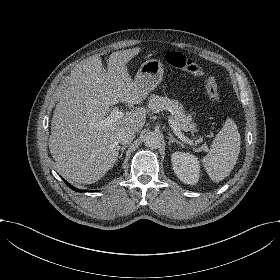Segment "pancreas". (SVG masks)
Listing matches in <instances>:
<instances>
[{"instance_id": "cf45deb5", "label": "pancreas", "mask_w": 280, "mask_h": 280, "mask_svg": "<svg viewBox=\"0 0 280 280\" xmlns=\"http://www.w3.org/2000/svg\"><path fill=\"white\" fill-rule=\"evenodd\" d=\"M148 112L159 113L163 110L171 112L173 119L177 123L180 130L190 131L197 127V124L192 120V117L184 111V107L176 100H170L163 96L160 97L156 94H152L148 98L147 102Z\"/></svg>"}]
</instances>
